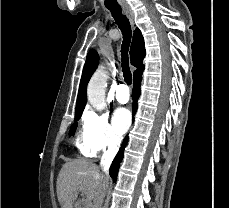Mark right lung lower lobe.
<instances>
[{
    "instance_id": "1",
    "label": "right lung lower lobe",
    "mask_w": 229,
    "mask_h": 208,
    "mask_svg": "<svg viewBox=\"0 0 229 208\" xmlns=\"http://www.w3.org/2000/svg\"><path fill=\"white\" fill-rule=\"evenodd\" d=\"M141 80H142V73L134 77L133 81V92H132V97H133V116L134 113L137 110V100L140 96V86H141ZM128 142L127 136L124 138V141L122 143V146L116 155L115 159L113 160V163L110 167V176L112 177L113 181L115 182L117 179V173L119 170L120 163L123 159V153H124V148L126 147V144Z\"/></svg>"
}]
</instances>
